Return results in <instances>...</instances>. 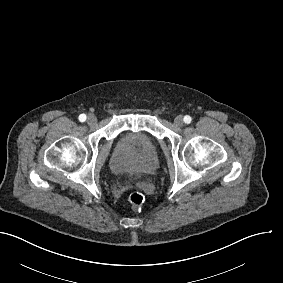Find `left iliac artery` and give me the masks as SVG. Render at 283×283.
Segmentation results:
<instances>
[{"label": "left iliac artery", "instance_id": "left-iliac-artery-1", "mask_svg": "<svg viewBox=\"0 0 283 283\" xmlns=\"http://www.w3.org/2000/svg\"><path fill=\"white\" fill-rule=\"evenodd\" d=\"M191 121H192V118H191L190 116L186 115V116L184 117V122H185V123L189 124V123H191Z\"/></svg>", "mask_w": 283, "mask_h": 283}]
</instances>
